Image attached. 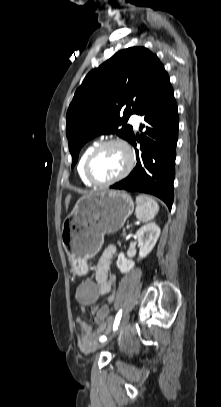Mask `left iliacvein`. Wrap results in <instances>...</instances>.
Wrapping results in <instances>:
<instances>
[{
  "label": "left iliac vein",
  "mask_w": 221,
  "mask_h": 407,
  "mask_svg": "<svg viewBox=\"0 0 221 407\" xmlns=\"http://www.w3.org/2000/svg\"><path fill=\"white\" fill-rule=\"evenodd\" d=\"M129 319H130L129 313H127V314H125V315L123 316V318L121 319V322H120V324H119V326H118V329H117V331L114 333V335L118 334L120 331H122V330L126 327V325H127L128 322H129ZM114 335H113V336H114Z\"/></svg>",
  "instance_id": "4c4485c4"
}]
</instances>
